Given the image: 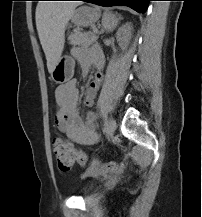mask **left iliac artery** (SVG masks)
I'll return each instance as SVG.
<instances>
[{"label":"left iliac artery","mask_w":202,"mask_h":217,"mask_svg":"<svg viewBox=\"0 0 202 217\" xmlns=\"http://www.w3.org/2000/svg\"><path fill=\"white\" fill-rule=\"evenodd\" d=\"M101 126H102V131L105 133V123L102 122V123H101Z\"/></svg>","instance_id":"left-iliac-artery-1"}]
</instances>
